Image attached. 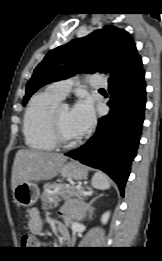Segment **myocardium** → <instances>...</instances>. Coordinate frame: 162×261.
Here are the masks:
<instances>
[{
    "mask_svg": "<svg viewBox=\"0 0 162 261\" xmlns=\"http://www.w3.org/2000/svg\"><path fill=\"white\" fill-rule=\"evenodd\" d=\"M57 110L58 108H54L49 116V128L52 139L57 146L63 148H72L79 144L81 137H78L75 140H67L64 138L57 121Z\"/></svg>",
    "mask_w": 162,
    "mask_h": 261,
    "instance_id": "myocardium-1",
    "label": "myocardium"
}]
</instances>
